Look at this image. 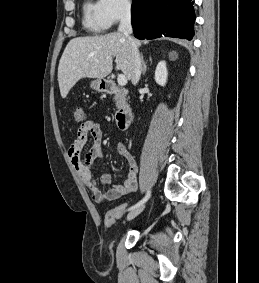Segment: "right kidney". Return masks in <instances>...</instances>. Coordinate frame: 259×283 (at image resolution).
Instances as JSON below:
<instances>
[{
  "mask_svg": "<svg viewBox=\"0 0 259 283\" xmlns=\"http://www.w3.org/2000/svg\"><path fill=\"white\" fill-rule=\"evenodd\" d=\"M167 67L165 61H160L155 70V81L160 86H165L167 82Z\"/></svg>",
  "mask_w": 259,
  "mask_h": 283,
  "instance_id": "obj_1",
  "label": "right kidney"
}]
</instances>
